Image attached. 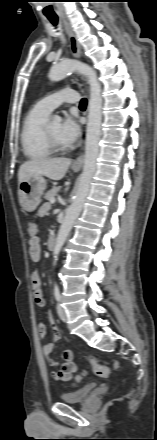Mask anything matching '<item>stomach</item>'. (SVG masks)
I'll use <instances>...</instances> for the list:
<instances>
[{"instance_id": "stomach-1", "label": "stomach", "mask_w": 157, "mask_h": 440, "mask_svg": "<svg viewBox=\"0 0 157 440\" xmlns=\"http://www.w3.org/2000/svg\"><path fill=\"white\" fill-rule=\"evenodd\" d=\"M77 171V169H75ZM47 187L43 176H33L18 185V199L21 207L27 211H34L41 202V196Z\"/></svg>"}]
</instances>
